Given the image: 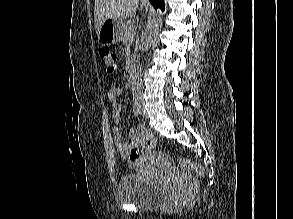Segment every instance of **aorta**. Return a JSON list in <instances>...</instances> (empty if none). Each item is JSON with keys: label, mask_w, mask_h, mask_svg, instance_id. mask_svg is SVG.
<instances>
[{"label": "aorta", "mask_w": 293, "mask_h": 219, "mask_svg": "<svg viewBox=\"0 0 293 219\" xmlns=\"http://www.w3.org/2000/svg\"><path fill=\"white\" fill-rule=\"evenodd\" d=\"M161 18V12L157 11L155 15L150 19L147 33L143 39L142 42V49L143 52L146 53L149 49V47L152 45L155 39L156 29L159 24ZM141 72L138 70L135 73V76L133 78V90L136 93H140L142 90V78H141Z\"/></svg>", "instance_id": "1"}]
</instances>
